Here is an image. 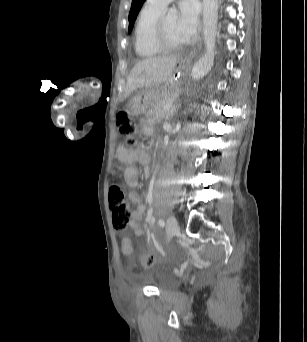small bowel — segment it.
Wrapping results in <instances>:
<instances>
[{
    "mask_svg": "<svg viewBox=\"0 0 307 342\" xmlns=\"http://www.w3.org/2000/svg\"><path fill=\"white\" fill-rule=\"evenodd\" d=\"M120 158L124 163L128 165V168L125 172V179L128 186L131 188H136L139 185V180L137 170L133 167V165L137 162L142 164L144 166V174L145 176H148L150 172L148 155L141 150L125 148L121 150ZM129 200L135 206L134 217L129 224L130 229L133 232H142L140 218L145 213V206L141 203L140 198L133 191L129 193Z\"/></svg>",
    "mask_w": 307,
    "mask_h": 342,
    "instance_id": "small-bowel-1",
    "label": "small bowel"
}]
</instances>
